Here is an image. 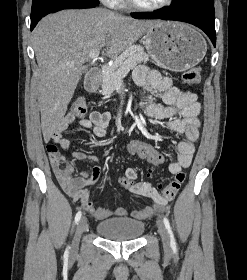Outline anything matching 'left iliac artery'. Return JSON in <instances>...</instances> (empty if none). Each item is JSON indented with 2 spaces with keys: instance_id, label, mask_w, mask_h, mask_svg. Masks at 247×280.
Instances as JSON below:
<instances>
[{
  "instance_id": "obj_1",
  "label": "left iliac artery",
  "mask_w": 247,
  "mask_h": 280,
  "mask_svg": "<svg viewBox=\"0 0 247 280\" xmlns=\"http://www.w3.org/2000/svg\"><path fill=\"white\" fill-rule=\"evenodd\" d=\"M163 222H164V225H165V227L168 230V233L170 235V245H171V248L173 249V251H176L177 250V244H176V240H175V237L173 235V232H172L169 220L166 217H164L163 218Z\"/></svg>"
}]
</instances>
